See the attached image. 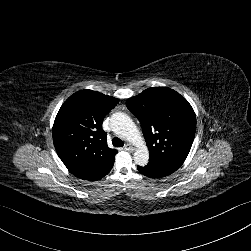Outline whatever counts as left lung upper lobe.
Returning <instances> with one entry per match:
<instances>
[{"label":"left lung upper lobe","instance_id":"left-lung-upper-lobe-1","mask_svg":"<svg viewBox=\"0 0 251 251\" xmlns=\"http://www.w3.org/2000/svg\"><path fill=\"white\" fill-rule=\"evenodd\" d=\"M140 121L150 158L183 164L196 131V116L189 102L167 87H153L127 100Z\"/></svg>","mask_w":251,"mask_h":251}]
</instances>
